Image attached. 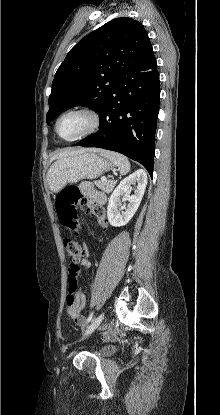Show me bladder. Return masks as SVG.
Listing matches in <instances>:
<instances>
[{
  "label": "bladder",
  "instance_id": "obj_1",
  "mask_svg": "<svg viewBox=\"0 0 220 415\" xmlns=\"http://www.w3.org/2000/svg\"><path fill=\"white\" fill-rule=\"evenodd\" d=\"M113 349H114L113 347H108V348L105 349V352H107V353L111 352V351H113Z\"/></svg>",
  "mask_w": 220,
  "mask_h": 415
}]
</instances>
